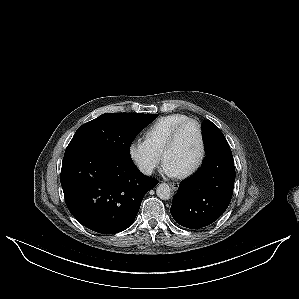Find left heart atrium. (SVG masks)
Wrapping results in <instances>:
<instances>
[{"label": "left heart atrium", "instance_id": "obj_1", "mask_svg": "<svg viewBox=\"0 0 299 299\" xmlns=\"http://www.w3.org/2000/svg\"><path fill=\"white\" fill-rule=\"evenodd\" d=\"M164 170L166 173L170 174L171 176L176 177L179 175V171L173 165L166 164V166L164 167Z\"/></svg>", "mask_w": 299, "mask_h": 299}]
</instances>
